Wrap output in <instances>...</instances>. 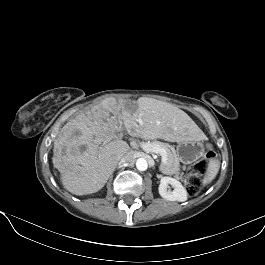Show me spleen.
Instances as JSON below:
<instances>
[{
    "instance_id": "1",
    "label": "spleen",
    "mask_w": 265,
    "mask_h": 265,
    "mask_svg": "<svg viewBox=\"0 0 265 265\" xmlns=\"http://www.w3.org/2000/svg\"><path fill=\"white\" fill-rule=\"evenodd\" d=\"M219 168H220L219 160L215 158L211 159L208 164L205 177L203 179V184H209L218 174Z\"/></svg>"
}]
</instances>
